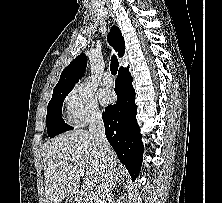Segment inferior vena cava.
Listing matches in <instances>:
<instances>
[{
    "mask_svg": "<svg viewBox=\"0 0 222 203\" xmlns=\"http://www.w3.org/2000/svg\"><path fill=\"white\" fill-rule=\"evenodd\" d=\"M90 136L95 140L99 154L108 164V172L100 181L94 193L95 203H106L113 187L116 174V164L113 161L112 149L105 135V127L101 113H94L89 125Z\"/></svg>",
    "mask_w": 222,
    "mask_h": 203,
    "instance_id": "inferior-vena-cava-1",
    "label": "inferior vena cava"
}]
</instances>
